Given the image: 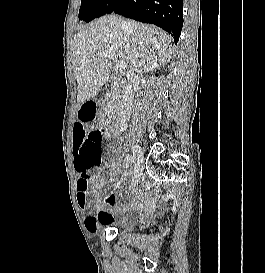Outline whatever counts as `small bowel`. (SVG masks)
I'll return each mask as SVG.
<instances>
[{"label": "small bowel", "mask_w": 265, "mask_h": 273, "mask_svg": "<svg viewBox=\"0 0 265 273\" xmlns=\"http://www.w3.org/2000/svg\"><path fill=\"white\" fill-rule=\"evenodd\" d=\"M96 109L93 103L83 102L78 110V122L74 124L73 133V155H74V169L78 176L77 179V202L82 212L85 215V227L90 233H96L99 229L107 227L114 220V215L111 208L116 205V197L114 194H107L101 196L99 190L105 185V179L100 176L99 172L87 175L79 168L78 153L76 150L77 135L76 129H89V124L94 123ZM113 166L120 169V163L117 160L113 161ZM122 173L127 174L129 168L124 166L121 169ZM94 181V187L91 190L89 181ZM143 204V197L136 194L131 202L125 208H138Z\"/></svg>", "instance_id": "1"}]
</instances>
